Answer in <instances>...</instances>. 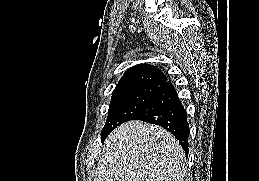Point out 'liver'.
Here are the masks:
<instances>
[{
    "instance_id": "1",
    "label": "liver",
    "mask_w": 259,
    "mask_h": 181,
    "mask_svg": "<svg viewBox=\"0 0 259 181\" xmlns=\"http://www.w3.org/2000/svg\"><path fill=\"white\" fill-rule=\"evenodd\" d=\"M94 181H184L185 153L167 130L129 121L106 139Z\"/></svg>"
}]
</instances>
